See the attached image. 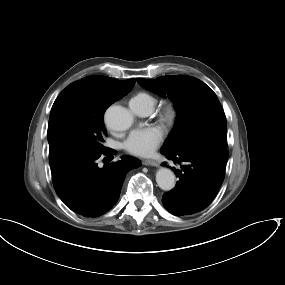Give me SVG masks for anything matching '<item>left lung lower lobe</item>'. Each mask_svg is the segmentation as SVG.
Returning a JSON list of instances; mask_svg holds the SVG:
<instances>
[{"label": "left lung lower lobe", "mask_w": 285, "mask_h": 285, "mask_svg": "<svg viewBox=\"0 0 285 285\" xmlns=\"http://www.w3.org/2000/svg\"><path fill=\"white\" fill-rule=\"evenodd\" d=\"M160 152L181 164L180 170L172 168L179 181L173 190L163 195L164 207L176 216L191 215L206 208L224 180L227 150L202 145L176 152Z\"/></svg>", "instance_id": "left-lung-lower-lobe-1"}]
</instances>
